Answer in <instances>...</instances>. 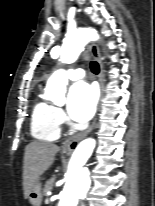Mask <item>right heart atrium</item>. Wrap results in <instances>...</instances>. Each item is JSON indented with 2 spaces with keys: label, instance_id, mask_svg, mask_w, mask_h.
I'll return each instance as SVG.
<instances>
[{
  "label": "right heart atrium",
  "instance_id": "right-heart-atrium-1",
  "mask_svg": "<svg viewBox=\"0 0 155 206\" xmlns=\"http://www.w3.org/2000/svg\"><path fill=\"white\" fill-rule=\"evenodd\" d=\"M55 112H56V117H57V120L60 124H63L66 122V117H65V114L63 112L62 109L60 108H55Z\"/></svg>",
  "mask_w": 155,
  "mask_h": 206
}]
</instances>
